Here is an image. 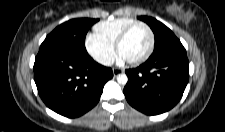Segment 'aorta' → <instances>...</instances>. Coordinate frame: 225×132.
Listing matches in <instances>:
<instances>
[{
	"label": "aorta",
	"instance_id": "aorta-1",
	"mask_svg": "<svg viewBox=\"0 0 225 132\" xmlns=\"http://www.w3.org/2000/svg\"><path fill=\"white\" fill-rule=\"evenodd\" d=\"M128 81V77L126 76V74H119L117 76V82L119 84L125 85Z\"/></svg>",
	"mask_w": 225,
	"mask_h": 132
}]
</instances>
